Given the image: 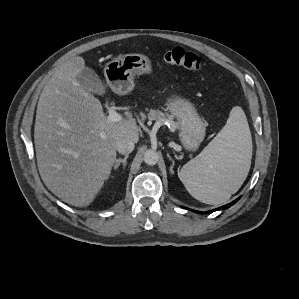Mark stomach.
I'll list each match as a JSON object with an SVG mask.
<instances>
[{
  "mask_svg": "<svg viewBox=\"0 0 299 299\" xmlns=\"http://www.w3.org/2000/svg\"><path fill=\"white\" fill-rule=\"evenodd\" d=\"M152 71L150 59L139 53L124 54L108 62L104 76L111 89L118 94H126L134 87L136 75ZM167 110L177 119L179 139L188 151H196L205 137V125L194 105L181 97L168 99Z\"/></svg>",
  "mask_w": 299,
  "mask_h": 299,
  "instance_id": "1",
  "label": "stomach"
}]
</instances>
